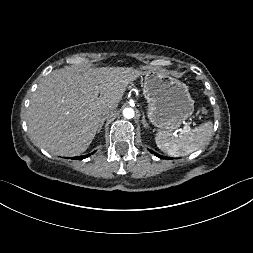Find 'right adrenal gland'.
Returning a JSON list of instances; mask_svg holds the SVG:
<instances>
[{
    "label": "right adrenal gland",
    "mask_w": 253,
    "mask_h": 253,
    "mask_svg": "<svg viewBox=\"0 0 253 253\" xmlns=\"http://www.w3.org/2000/svg\"><path fill=\"white\" fill-rule=\"evenodd\" d=\"M107 117H108V116H105V117H103V118L101 119V122H100V125H99V128H98V133L100 132V130H101L103 124H104V121L107 119Z\"/></svg>",
    "instance_id": "right-adrenal-gland-1"
}]
</instances>
